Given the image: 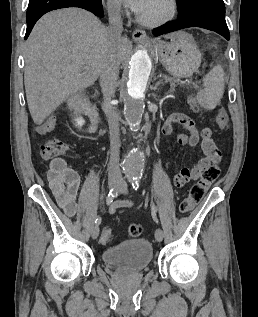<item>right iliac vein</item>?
<instances>
[{
	"mask_svg": "<svg viewBox=\"0 0 258 317\" xmlns=\"http://www.w3.org/2000/svg\"><path fill=\"white\" fill-rule=\"evenodd\" d=\"M120 184H121L120 179H110L108 182V187L110 189H113L116 186H120ZM99 235H100V227L96 225L91 229V236L98 237Z\"/></svg>",
	"mask_w": 258,
	"mask_h": 317,
	"instance_id": "1",
	"label": "right iliac vein"
}]
</instances>
